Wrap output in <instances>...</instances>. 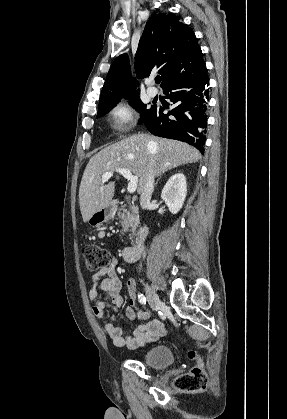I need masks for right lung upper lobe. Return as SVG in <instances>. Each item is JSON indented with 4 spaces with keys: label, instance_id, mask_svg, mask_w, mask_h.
Here are the masks:
<instances>
[{
    "label": "right lung upper lobe",
    "instance_id": "cb5924a9",
    "mask_svg": "<svg viewBox=\"0 0 287 419\" xmlns=\"http://www.w3.org/2000/svg\"><path fill=\"white\" fill-rule=\"evenodd\" d=\"M138 78L157 71L161 87L206 69L197 38L190 27L173 14H154L147 22L136 52ZM138 82L131 78L127 54L118 56L111 65L100 95L99 108L125 98L138 97Z\"/></svg>",
    "mask_w": 287,
    "mask_h": 419
}]
</instances>
